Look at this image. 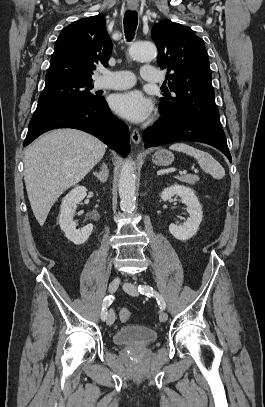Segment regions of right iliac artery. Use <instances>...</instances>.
<instances>
[{
    "label": "right iliac artery",
    "mask_w": 265,
    "mask_h": 407,
    "mask_svg": "<svg viewBox=\"0 0 265 407\" xmlns=\"http://www.w3.org/2000/svg\"><path fill=\"white\" fill-rule=\"evenodd\" d=\"M112 299H113V296L109 295V296H106L103 300L102 310H101V319L103 321H105L107 318V308L111 305Z\"/></svg>",
    "instance_id": "82829eb1"
}]
</instances>
